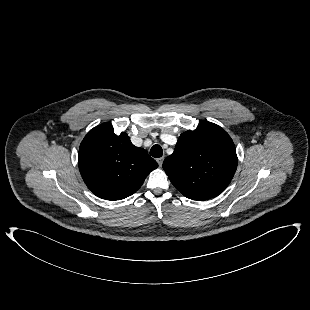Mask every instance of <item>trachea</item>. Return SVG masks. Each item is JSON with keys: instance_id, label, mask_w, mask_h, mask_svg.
I'll use <instances>...</instances> for the list:
<instances>
[{"instance_id": "1", "label": "trachea", "mask_w": 310, "mask_h": 310, "mask_svg": "<svg viewBox=\"0 0 310 310\" xmlns=\"http://www.w3.org/2000/svg\"><path fill=\"white\" fill-rule=\"evenodd\" d=\"M150 155L155 158H159L163 155V150L160 145H154L150 150Z\"/></svg>"}]
</instances>
